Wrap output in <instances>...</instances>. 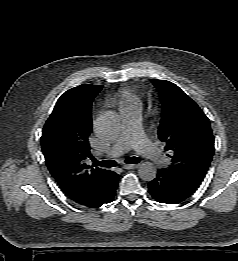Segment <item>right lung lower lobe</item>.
Segmentation results:
<instances>
[{
	"instance_id": "obj_1",
	"label": "right lung lower lobe",
	"mask_w": 238,
	"mask_h": 261,
	"mask_svg": "<svg viewBox=\"0 0 238 261\" xmlns=\"http://www.w3.org/2000/svg\"><path fill=\"white\" fill-rule=\"evenodd\" d=\"M117 186L118 175L115 172L108 170L97 188L76 203L90 208H97L103 204L110 203L115 196Z\"/></svg>"
}]
</instances>
